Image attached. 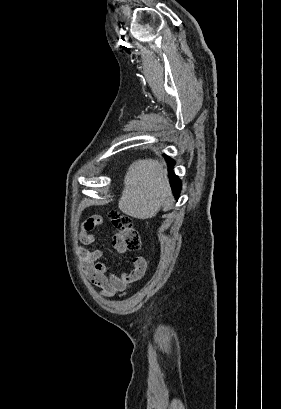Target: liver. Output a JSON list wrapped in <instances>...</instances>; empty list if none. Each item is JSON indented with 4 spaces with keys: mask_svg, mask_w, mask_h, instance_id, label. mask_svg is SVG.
I'll use <instances>...</instances> for the list:
<instances>
[{
    "mask_svg": "<svg viewBox=\"0 0 281 409\" xmlns=\"http://www.w3.org/2000/svg\"><path fill=\"white\" fill-rule=\"evenodd\" d=\"M171 194L167 170L159 160L143 158L130 164L118 207L134 219H152Z\"/></svg>",
    "mask_w": 281,
    "mask_h": 409,
    "instance_id": "obj_1",
    "label": "liver"
}]
</instances>
